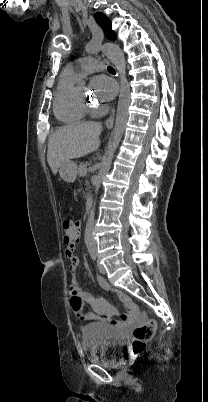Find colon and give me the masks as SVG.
Returning <instances> with one entry per match:
<instances>
[{
  "mask_svg": "<svg viewBox=\"0 0 208 402\" xmlns=\"http://www.w3.org/2000/svg\"><path fill=\"white\" fill-rule=\"evenodd\" d=\"M77 221L72 219H65L62 224L63 239L65 244H70V241L75 238L76 229L75 224ZM71 307L73 312L80 316L85 314L83 312V301L80 296H72L70 299ZM156 332L155 320L153 318H148L145 324H140L133 332V343L132 349L134 354L137 356L143 352L145 343L152 339L154 333Z\"/></svg>",
  "mask_w": 208,
  "mask_h": 402,
  "instance_id": "colon-1",
  "label": "colon"
}]
</instances>
